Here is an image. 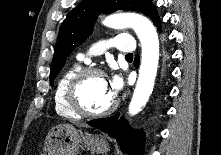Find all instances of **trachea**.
I'll use <instances>...</instances> for the list:
<instances>
[{
    "label": "trachea",
    "instance_id": "3493384b",
    "mask_svg": "<svg viewBox=\"0 0 221 155\" xmlns=\"http://www.w3.org/2000/svg\"><path fill=\"white\" fill-rule=\"evenodd\" d=\"M126 58H133V54L132 53L127 54Z\"/></svg>",
    "mask_w": 221,
    "mask_h": 155
}]
</instances>
